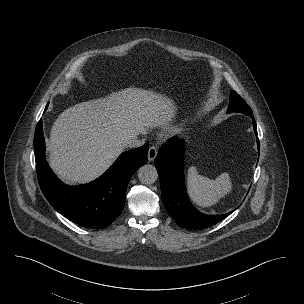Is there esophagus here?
Segmentation results:
<instances>
[{"label": "esophagus", "instance_id": "1", "mask_svg": "<svg viewBox=\"0 0 304 304\" xmlns=\"http://www.w3.org/2000/svg\"><path fill=\"white\" fill-rule=\"evenodd\" d=\"M157 156V149L154 146H151L148 150V160L151 162Z\"/></svg>", "mask_w": 304, "mask_h": 304}]
</instances>
